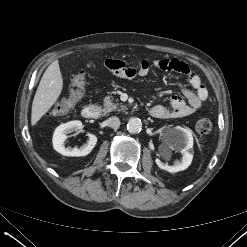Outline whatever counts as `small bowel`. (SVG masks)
<instances>
[{
    "label": "small bowel",
    "mask_w": 247,
    "mask_h": 247,
    "mask_svg": "<svg viewBox=\"0 0 247 247\" xmlns=\"http://www.w3.org/2000/svg\"><path fill=\"white\" fill-rule=\"evenodd\" d=\"M105 66L113 74L123 79H132L136 76L145 77L152 67L163 71L177 72L187 77L190 89H182L185 99L179 95H173L169 100V108L164 105L153 106L150 114L154 118L170 119L189 116L195 113L208 97V91L200 77L185 62L175 58H162L152 62L143 60L138 67L128 66L121 60L109 59L105 62Z\"/></svg>",
    "instance_id": "c3829d8e"
}]
</instances>
